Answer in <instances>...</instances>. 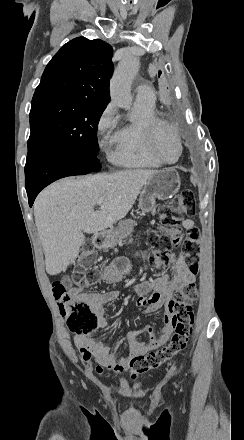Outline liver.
Wrapping results in <instances>:
<instances>
[{"mask_svg":"<svg viewBox=\"0 0 244 440\" xmlns=\"http://www.w3.org/2000/svg\"><path fill=\"white\" fill-rule=\"evenodd\" d=\"M156 172L134 168L115 174L72 176L45 188L34 202V218L47 274L57 276L74 262L85 242L84 234H98L125 218ZM100 198L104 202L94 212Z\"/></svg>","mask_w":244,"mask_h":440,"instance_id":"liver-1","label":"liver"}]
</instances>
